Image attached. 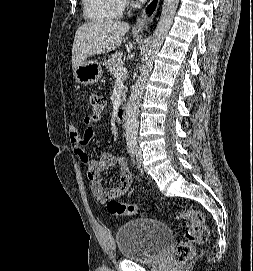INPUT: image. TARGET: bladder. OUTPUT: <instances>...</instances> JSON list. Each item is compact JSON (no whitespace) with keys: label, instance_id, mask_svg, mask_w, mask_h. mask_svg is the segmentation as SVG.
I'll return each instance as SVG.
<instances>
[{"label":"bladder","instance_id":"1","mask_svg":"<svg viewBox=\"0 0 253 271\" xmlns=\"http://www.w3.org/2000/svg\"><path fill=\"white\" fill-rule=\"evenodd\" d=\"M115 238L124 259L152 262L161 256L172 241L173 230L163 221L141 218L118 227Z\"/></svg>","mask_w":253,"mask_h":271}]
</instances>
